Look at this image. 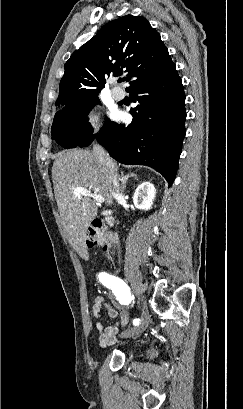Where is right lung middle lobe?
Segmentation results:
<instances>
[{
	"mask_svg": "<svg viewBox=\"0 0 243 409\" xmlns=\"http://www.w3.org/2000/svg\"><path fill=\"white\" fill-rule=\"evenodd\" d=\"M97 103H100L98 97H93L65 105L55 114L51 127L53 139L68 149L78 146L84 139L92 136L93 128L88 123L87 114Z\"/></svg>",
	"mask_w": 243,
	"mask_h": 409,
	"instance_id": "obj_1",
	"label": "right lung middle lobe"
}]
</instances>
